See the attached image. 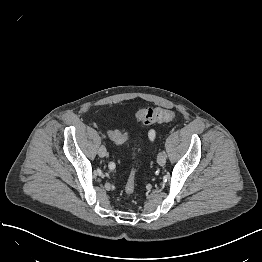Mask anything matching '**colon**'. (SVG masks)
<instances>
[{
  "mask_svg": "<svg viewBox=\"0 0 262 262\" xmlns=\"http://www.w3.org/2000/svg\"><path fill=\"white\" fill-rule=\"evenodd\" d=\"M136 117L145 124L170 121L175 118L174 111L166 108H143L136 112ZM109 137L117 146H121L128 140V134L121 130L109 131ZM137 189L135 172L133 171L126 182L125 193L132 195Z\"/></svg>",
  "mask_w": 262,
  "mask_h": 262,
  "instance_id": "obj_1",
  "label": "colon"
}]
</instances>
